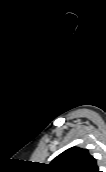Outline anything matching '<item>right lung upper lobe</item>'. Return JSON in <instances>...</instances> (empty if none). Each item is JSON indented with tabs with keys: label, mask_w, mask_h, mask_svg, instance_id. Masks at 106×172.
<instances>
[{
	"label": "right lung upper lobe",
	"mask_w": 106,
	"mask_h": 172,
	"mask_svg": "<svg viewBox=\"0 0 106 172\" xmlns=\"http://www.w3.org/2000/svg\"><path fill=\"white\" fill-rule=\"evenodd\" d=\"M47 168L50 172H99L96 160L88 150L78 147L58 155Z\"/></svg>",
	"instance_id": "obj_1"
}]
</instances>
